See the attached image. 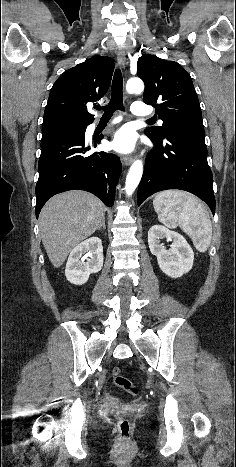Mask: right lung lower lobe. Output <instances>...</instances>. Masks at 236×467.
<instances>
[{"label":"right lung lower lobe","instance_id":"obj_1","mask_svg":"<svg viewBox=\"0 0 236 467\" xmlns=\"http://www.w3.org/2000/svg\"><path fill=\"white\" fill-rule=\"evenodd\" d=\"M103 137L85 143L84 135H70L41 142L36 185V217L53 195L68 190H85L111 207L121 174L119 157L106 152L87 155Z\"/></svg>","mask_w":236,"mask_h":467}]
</instances>
